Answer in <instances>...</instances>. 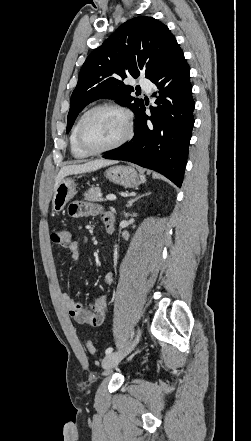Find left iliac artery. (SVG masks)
<instances>
[{
	"mask_svg": "<svg viewBox=\"0 0 251 441\" xmlns=\"http://www.w3.org/2000/svg\"><path fill=\"white\" fill-rule=\"evenodd\" d=\"M133 334H134V332H132L131 337L133 336ZM112 351H113V348L109 347L106 349L105 354L108 355V354L112 353Z\"/></svg>",
	"mask_w": 251,
	"mask_h": 441,
	"instance_id": "44dca946",
	"label": "left iliac artery"
}]
</instances>
